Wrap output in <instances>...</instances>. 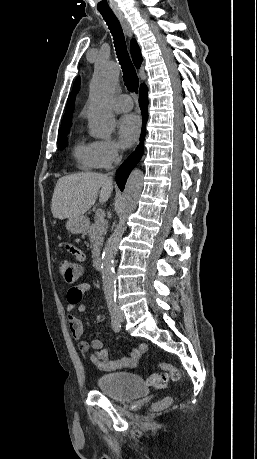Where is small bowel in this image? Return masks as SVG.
Instances as JSON below:
<instances>
[{
  "label": "small bowel",
  "mask_w": 257,
  "mask_h": 459,
  "mask_svg": "<svg viewBox=\"0 0 257 459\" xmlns=\"http://www.w3.org/2000/svg\"><path fill=\"white\" fill-rule=\"evenodd\" d=\"M61 245L66 248L65 252L70 258L71 264H86L85 250L81 249V246H75L74 239H63ZM89 291L90 285L88 283H80L71 287L66 294L68 326L73 338L77 341L79 350L87 352L92 349L90 362L94 367L102 371L111 372L122 368L134 367L146 352V344H141L138 348L133 349L128 358L110 359L108 351L103 348L102 340L96 338L89 342L82 338L84 326L80 318L73 313V310L77 308L79 313H84L87 310V304L82 299Z\"/></svg>",
  "instance_id": "obj_1"
}]
</instances>
